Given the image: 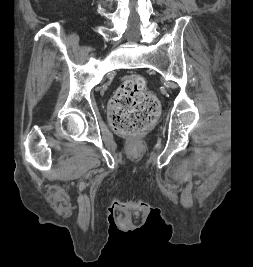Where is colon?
<instances>
[{"mask_svg": "<svg viewBox=\"0 0 253 267\" xmlns=\"http://www.w3.org/2000/svg\"><path fill=\"white\" fill-rule=\"evenodd\" d=\"M159 108L157 98L146 90L145 79L128 75L110 102V122L118 133L136 138L151 125Z\"/></svg>", "mask_w": 253, "mask_h": 267, "instance_id": "obj_1", "label": "colon"}]
</instances>
